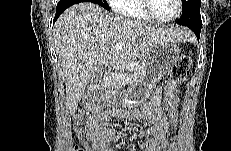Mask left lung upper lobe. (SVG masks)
<instances>
[{
    "mask_svg": "<svg viewBox=\"0 0 231 151\" xmlns=\"http://www.w3.org/2000/svg\"><path fill=\"white\" fill-rule=\"evenodd\" d=\"M182 2V16L177 23L187 27L202 26L200 15L201 0H182Z\"/></svg>",
    "mask_w": 231,
    "mask_h": 151,
    "instance_id": "left-lung-upper-lobe-1",
    "label": "left lung upper lobe"
}]
</instances>
